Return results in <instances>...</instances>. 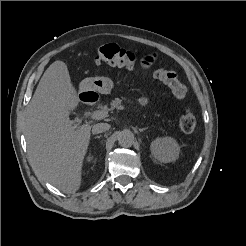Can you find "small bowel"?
Segmentation results:
<instances>
[{
    "mask_svg": "<svg viewBox=\"0 0 246 246\" xmlns=\"http://www.w3.org/2000/svg\"><path fill=\"white\" fill-rule=\"evenodd\" d=\"M153 60H154V57L153 56H150V57H147L146 58V61L145 62L147 64H151L153 62ZM147 101L148 100H147L146 97H142L139 102H140L141 105H145L147 103Z\"/></svg>",
    "mask_w": 246,
    "mask_h": 246,
    "instance_id": "obj_1",
    "label": "small bowel"
}]
</instances>
